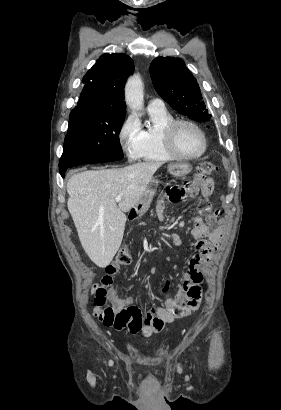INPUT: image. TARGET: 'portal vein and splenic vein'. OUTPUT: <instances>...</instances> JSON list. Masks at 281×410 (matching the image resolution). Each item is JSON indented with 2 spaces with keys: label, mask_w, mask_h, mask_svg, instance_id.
Here are the masks:
<instances>
[{
  "label": "portal vein and splenic vein",
  "mask_w": 281,
  "mask_h": 410,
  "mask_svg": "<svg viewBox=\"0 0 281 410\" xmlns=\"http://www.w3.org/2000/svg\"><path fill=\"white\" fill-rule=\"evenodd\" d=\"M122 200V196H117L116 198H115V201L116 202H120Z\"/></svg>",
  "instance_id": "obj_1"
}]
</instances>
